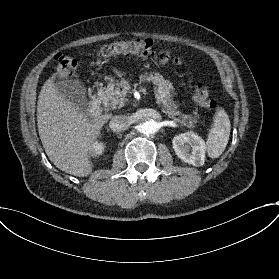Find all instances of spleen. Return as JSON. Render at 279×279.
Returning a JSON list of instances; mask_svg holds the SVG:
<instances>
[{"mask_svg": "<svg viewBox=\"0 0 279 279\" xmlns=\"http://www.w3.org/2000/svg\"><path fill=\"white\" fill-rule=\"evenodd\" d=\"M231 124L224 110H218L214 115V125L206 142V151L210 158H218L225 150L230 136Z\"/></svg>", "mask_w": 279, "mask_h": 279, "instance_id": "1", "label": "spleen"}]
</instances>
